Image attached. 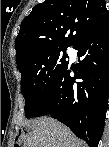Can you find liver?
Returning <instances> with one entry per match:
<instances>
[{
	"mask_svg": "<svg viewBox=\"0 0 109 147\" xmlns=\"http://www.w3.org/2000/svg\"><path fill=\"white\" fill-rule=\"evenodd\" d=\"M28 126L24 147H86L68 127L51 117L32 120Z\"/></svg>",
	"mask_w": 109,
	"mask_h": 147,
	"instance_id": "6515ba94",
	"label": "liver"
}]
</instances>
